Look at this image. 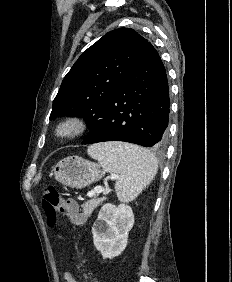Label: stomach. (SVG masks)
Returning a JSON list of instances; mask_svg holds the SVG:
<instances>
[{"label":"stomach","mask_w":232,"mask_h":282,"mask_svg":"<svg viewBox=\"0 0 232 282\" xmlns=\"http://www.w3.org/2000/svg\"><path fill=\"white\" fill-rule=\"evenodd\" d=\"M55 179L63 185L81 189L101 179L103 172L94 162L78 156L59 161L53 168Z\"/></svg>","instance_id":"obj_1"}]
</instances>
